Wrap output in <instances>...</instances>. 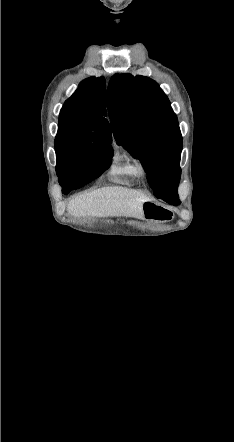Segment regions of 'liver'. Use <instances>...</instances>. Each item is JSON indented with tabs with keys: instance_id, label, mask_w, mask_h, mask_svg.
<instances>
[{
	"instance_id": "6515ba94",
	"label": "liver",
	"mask_w": 234,
	"mask_h": 442,
	"mask_svg": "<svg viewBox=\"0 0 234 442\" xmlns=\"http://www.w3.org/2000/svg\"><path fill=\"white\" fill-rule=\"evenodd\" d=\"M150 199L143 193L123 187H104L81 194L69 202L70 214L93 217L143 218L142 205Z\"/></svg>"
}]
</instances>
